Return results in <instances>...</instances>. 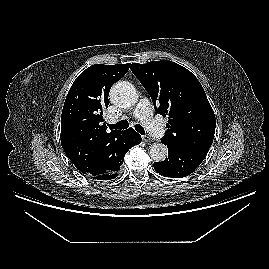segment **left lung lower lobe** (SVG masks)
Wrapping results in <instances>:
<instances>
[{
	"label": "left lung lower lobe",
	"instance_id": "obj_1",
	"mask_svg": "<svg viewBox=\"0 0 269 269\" xmlns=\"http://www.w3.org/2000/svg\"><path fill=\"white\" fill-rule=\"evenodd\" d=\"M167 147L168 158L155 162L154 169L159 174L171 178H181L191 174L205 159L208 152L203 149H180L168 145Z\"/></svg>",
	"mask_w": 269,
	"mask_h": 269
}]
</instances>
